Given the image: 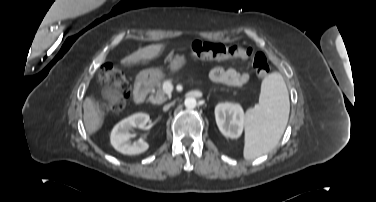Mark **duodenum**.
<instances>
[{
  "label": "duodenum",
  "instance_id": "obj_1",
  "mask_svg": "<svg viewBox=\"0 0 376 202\" xmlns=\"http://www.w3.org/2000/svg\"><path fill=\"white\" fill-rule=\"evenodd\" d=\"M148 92V83L145 78H141L136 82L133 91V100L136 104H141L144 102Z\"/></svg>",
  "mask_w": 376,
  "mask_h": 202
}]
</instances>
